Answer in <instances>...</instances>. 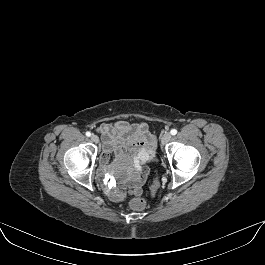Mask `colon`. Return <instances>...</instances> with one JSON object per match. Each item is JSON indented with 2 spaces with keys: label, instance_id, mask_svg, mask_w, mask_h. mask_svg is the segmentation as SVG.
<instances>
[{
  "label": "colon",
  "instance_id": "colon-1",
  "mask_svg": "<svg viewBox=\"0 0 265 265\" xmlns=\"http://www.w3.org/2000/svg\"><path fill=\"white\" fill-rule=\"evenodd\" d=\"M159 182L156 180L152 186V193L158 188ZM130 207L134 211H142L146 207V201L143 198H134L130 201Z\"/></svg>",
  "mask_w": 265,
  "mask_h": 265
}]
</instances>
